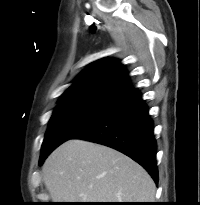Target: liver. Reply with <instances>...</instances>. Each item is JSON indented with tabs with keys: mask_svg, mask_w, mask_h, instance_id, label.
Instances as JSON below:
<instances>
[{
	"mask_svg": "<svg viewBox=\"0 0 200 205\" xmlns=\"http://www.w3.org/2000/svg\"><path fill=\"white\" fill-rule=\"evenodd\" d=\"M43 179L56 202H154L150 175L124 154L92 142L69 140L46 159Z\"/></svg>",
	"mask_w": 200,
	"mask_h": 205,
	"instance_id": "6515ba94",
	"label": "liver"
}]
</instances>
